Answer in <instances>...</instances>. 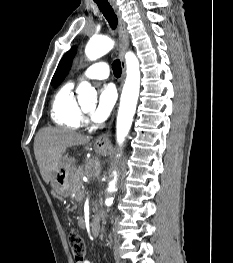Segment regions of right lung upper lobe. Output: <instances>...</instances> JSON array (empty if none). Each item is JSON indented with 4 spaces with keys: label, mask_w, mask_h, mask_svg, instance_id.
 <instances>
[{
    "label": "right lung upper lobe",
    "mask_w": 233,
    "mask_h": 263,
    "mask_svg": "<svg viewBox=\"0 0 233 263\" xmlns=\"http://www.w3.org/2000/svg\"><path fill=\"white\" fill-rule=\"evenodd\" d=\"M69 69H70V66L60 75V77H59L58 80L56 81L54 87L58 86V85L63 81V79H64L65 76L67 75Z\"/></svg>",
    "instance_id": "right-lung-upper-lobe-1"
}]
</instances>
